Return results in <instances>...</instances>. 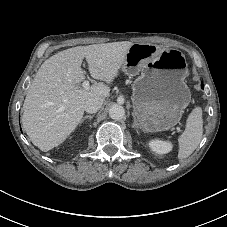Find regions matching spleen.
<instances>
[{
  "label": "spleen",
  "mask_w": 227,
  "mask_h": 227,
  "mask_svg": "<svg viewBox=\"0 0 227 227\" xmlns=\"http://www.w3.org/2000/svg\"><path fill=\"white\" fill-rule=\"evenodd\" d=\"M203 134L202 109L196 107L186 120V128L178 138V158L189 157L199 145Z\"/></svg>",
  "instance_id": "1"
}]
</instances>
